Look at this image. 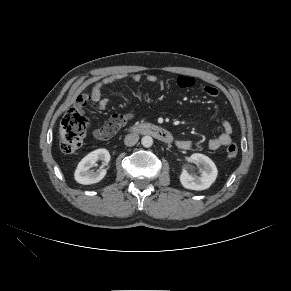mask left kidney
<instances>
[{
    "label": "left kidney",
    "mask_w": 291,
    "mask_h": 291,
    "mask_svg": "<svg viewBox=\"0 0 291 291\" xmlns=\"http://www.w3.org/2000/svg\"><path fill=\"white\" fill-rule=\"evenodd\" d=\"M188 161L197 165L200 176L195 175L192 170L183 169L180 175L182 186L196 191L208 189L215 182L218 174L215 163L209 157L200 153L192 154Z\"/></svg>",
    "instance_id": "5707ae66"
}]
</instances>
